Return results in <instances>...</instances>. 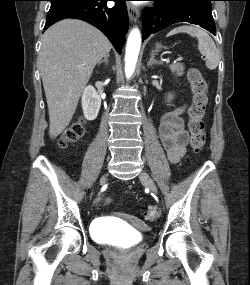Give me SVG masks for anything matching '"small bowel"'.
I'll return each instance as SVG.
<instances>
[{
  "instance_id": "small-bowel-1",
  "label": "small bowel",
  "mask_w": 250,
  "mask_h": 285,
  "mask_svg": "<svg viewBox=\"0 0 250 285\" xmlns=\"http://www.w3.org/2000/svg\"><path fill=\"white\" fill-rule=\"evenodd\" d=\"M186 105L163 115L159 125V134L167 156L172 163H178L185 154L189 134L185 129L182 114Z\"/></svg>"
}]
</instances>
